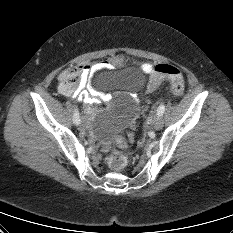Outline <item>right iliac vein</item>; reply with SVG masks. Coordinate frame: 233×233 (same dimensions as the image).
<instances>
[{"mask_svg":"<svg viewBox=\"0 0 233 233\" xmlns=\"http://www.w3.org/2000/svg\"><path fill=\"white\" fill-rule=\"evenodd\" d=\"M75 127L78 129V130H83L84 129V124L83 123H80V122H77L75 124Z\"/></svg>","mask_w":233,"mask_h":233,"instance_id":"right-iliac-vein-1","label":"right iliac vein"}]
</instances>
